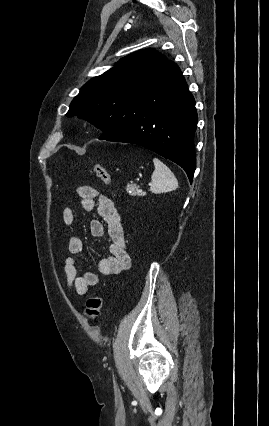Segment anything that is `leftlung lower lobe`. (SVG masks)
Listing matches in <instances>:
<instances>
[{
  "mask_svg": "<svg viewBox=\"0 0 269 426\" xmlns=\"http://www.w3.org/2000/svg\"><path fill=\"white\" fill-rule=\"evenodd\" d=\"M197 120L195 100L179 67L167 61L151 83L133 95L113 135L99 139L146 147L180 165L192 183Z\"/></svg>",
  "mask_w": 269,
  "mask_h": 426,
  "instance_id": "0a47b994",
  "label": "left lung lower lobe"
}]
</instances>
